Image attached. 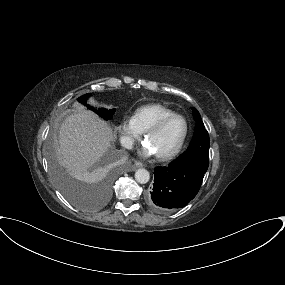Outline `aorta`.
Returning <instances> with one entry per match:
<instances>
[{"instance_id":"obj_1","label":"aorta","mask_w":285,"mask_h":285,"mask_svg":"<svg viewBox=\"0 0 285 285\" xmlns=\"http://www.w3.org/2000/svg\"><path fill=\"white\" fill-rule=\"evenodd\" d=\"M150 179V173L146 169H138L135 172V180L140 184H146Z\"/></svg>"}]
</instances>
